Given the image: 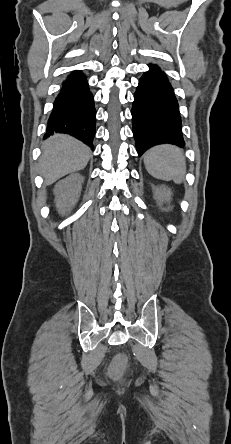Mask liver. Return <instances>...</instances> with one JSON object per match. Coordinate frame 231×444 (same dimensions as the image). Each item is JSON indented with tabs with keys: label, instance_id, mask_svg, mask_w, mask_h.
Wrapping results in <instances>:
<instances>
[{
	"label": "liver",
	"instance_id": "6515ba94",
	"mask_svg": "<svg viewBox=\"0 0 231 444\" xmlns=\"http://www.w3.org/2000/svg\"><path fill=\"white\" fill-rule=\"evenodd\" d=\"M91 157V150L79 140L55 134L42 146L40 173L50 185L61 177L83 169Z\"/></svg>",
	"mask_w": 231,
	"mask_h": 444
}]
</instances>
